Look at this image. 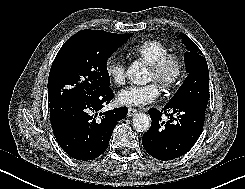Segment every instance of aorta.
I'll return each instance as SVG.
<instances>
[{
    "label": "aorta",
    "instance_id": "obj_1",
    "mask_svg": "<svg viewBox=\"0 0 245 189\" xmlns=\"http://www.w3.org/2000/svg\"><path fill=\"white\" fill-rule=\"evenodd\" d=\"M127 77L137 85H145L148 83V71L142 63L135 61L127 70ZM133 127L138 132H146L151 126L150 117L147 114L139 113L133 117Z\"/></svg>",
    "mask_w": 245,
    "mask_h": 189
}]
</instances>
